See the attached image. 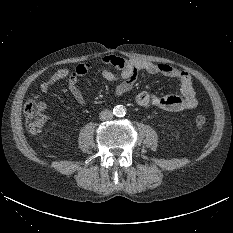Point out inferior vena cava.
Wrapping results in <instances>:
<instances>
[{"label": "inferior vena cava", "mask_w": 233, "mask_h": 233, "mask_svg": "<svg viewBox=\"0 0 233 233\" xmlns=\"http://www.w3.org/2000/svg\"><path fill=\"white\" fill-rule=\"evenodd\" d=\"M101 120H111L113 118V113L110 110H103L99 114Z\"/></svg>", "instance_id": "obj_1"}]
</instances>
